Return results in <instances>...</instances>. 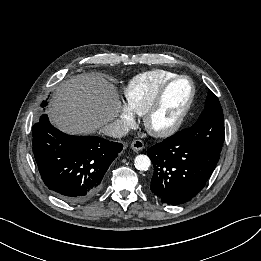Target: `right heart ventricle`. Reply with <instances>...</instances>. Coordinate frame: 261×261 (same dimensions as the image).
I'll return each mask as SVG.
<instances>
[{"label": "right heart ventricle", "instance_id": "1", "mask_svg": "<svg viewBox=\"0 0 261 261\" xmlns=\"http://www.w3.org/2000/svg\"><path fill=\"white\" fill-rule=\"evenodd\" d=\"M177 74L152 70L133 77L124 90L127 105L137 115H144L162 86Z\"/></svg>", "mask_w": 261, "mask_h": 261}]
</instances>
